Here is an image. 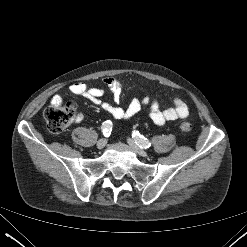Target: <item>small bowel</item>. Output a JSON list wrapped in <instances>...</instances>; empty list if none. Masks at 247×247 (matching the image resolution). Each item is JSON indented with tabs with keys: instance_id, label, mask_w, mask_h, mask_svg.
Returning <instances> with one entry per match:
<instances>
[{
	"instance_id": "small-bowel-1",
	"label": "small bowel",
	"mask_w": 247,
	"mask_h": 247,
	"mask_svg": "<svg viewBox=\"0 0 247 247\" xmlns=\"http://www.w3.org/2000/svg\"><path fill=\"white\" fill-rule=\"evenodd\" d=\"M104 85L111 90L115 101L118 103L121 99V84L114 77H107L103 80ZM70 91L78 96H82L100 107L116 120H127L139 113L142 107H149V116L151 120L158 126L164 125L166 122L177 119L187 118L189 109L187 104L180 98H174L172 106L168 108H161L159 102L150 97L145 96L142 100L132 99L126 107L119 105H111L102 100L104 89L102 87H91L83 82H76L70 86ZM61 101L60 96H55L52 100L53 104H58ZM78 120L82 119V115L77 116Z\"/></svg>"
}]
</instances>
